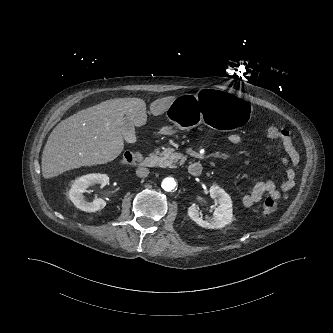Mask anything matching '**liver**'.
I'll use <instances>...</instances> for the list:
<instances>
[{
    "label": "liver",
    "mask_w": 333,
    "mask_h": 333,
    "mask_svg": "<svg viewBox=\"0 0 333 333\" xmlns=\"http://www.w3.org/2000/svg\"><path fill=\"white\" fill-rule=\"evenodd\" d=\"M175 96L150 105L152 115L168 110ZM124 116L137 127L146 124V103L140 98H116L81 110L61 121L51 132L42 154V175L56 177L68 170L105 164L124 148L121 126Z\"/></svg>",
    "instance_id": "liver-1"
}]
</instances>
